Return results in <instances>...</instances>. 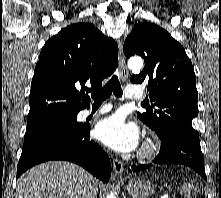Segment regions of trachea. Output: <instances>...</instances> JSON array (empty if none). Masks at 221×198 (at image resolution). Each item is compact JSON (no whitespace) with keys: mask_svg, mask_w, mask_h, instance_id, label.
<instances>
[{"mask_svg":"<svg viewBox=\"0 0 221 198\" xmlns=\"http://www.w3.org/2000/svg\"><path fill=\"white\" fill-rule=\"evenodd\" d=\"M114 93L116 97H122L123 91L117 75L107 82V84L98 92L91 94V97L95 100L94 104H101L104 100L110 97Z\"/></svg>","mask_w":221,"mask_h":198,"instance_id":"trachea-1","label":"trachea"}]
</instances>
